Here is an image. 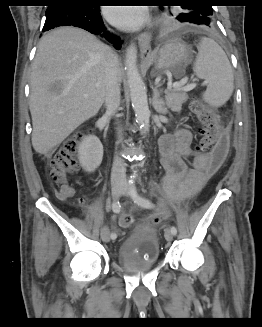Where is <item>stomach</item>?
Wrapping results in <instances>:
<instances>
[{
  "label": "stomach",
  "mask_w": 262,
  "mask_h": 327,
  "mask_svg": "<svg viewBox=\"0 0 262 327\" xmlns=\"http://www.w3.org/2000/svg\"><path fill=\"white\" fill-rule=\"evenodd\" d=\"M146 59L154 64L158 74L171 72L179 77L190 59V50L183 42L170 41L164 43L157 52L148 55Z\"/></svg>",
  "instance_id": "0dacf381"
}]
</instances>
